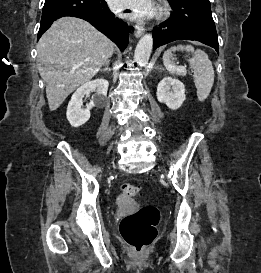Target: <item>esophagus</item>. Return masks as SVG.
Listing matches in <instances>:
<instances>
[{
	"label": "esophagus",
	"instance_id": "esophagus-1",
	"mask_svg": "<svg viewBox=\"0 0 261 273\" xmlns=\"http://www.w3.org/2000/svg\"><path fill=\"white\" fill-rule=\"evenodd\" d=\"M144 31H145V29L142 26H136L135 31H134V35L138 38L143 35Z\"/></svg>",
	"mask_w": 261,
	"mask_h": 273
}]
</instances>
